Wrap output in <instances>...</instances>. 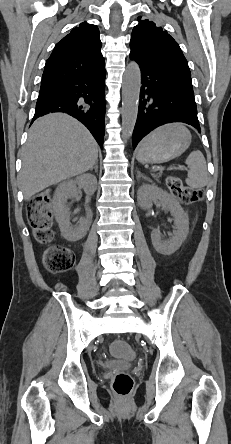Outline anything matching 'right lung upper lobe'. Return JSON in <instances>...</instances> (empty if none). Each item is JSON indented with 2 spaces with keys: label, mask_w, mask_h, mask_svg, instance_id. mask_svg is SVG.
Returning a JSON list of instances; mask_svg holds the SVG:
<instances>
[{
  "label": "right lung upper lobe",
  "mask_w": 231,
  "mask_h": 444,
  "mask_svg": "<svg viewBox=\"0 0 231 444\" xmlns=\"http://www.w3.org/2000/svg\"><path fill=\"white\" fill-rule=\"evenodd\" d=\"M104 69L99 29L84 22L56 44L46 61L41 86L93 75Z\"/></svg>",
  "instance_id": "obj_1"
}]
</instances>
